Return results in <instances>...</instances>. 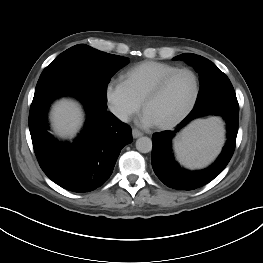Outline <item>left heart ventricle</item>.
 Wrapping results in <instances>:
<instances>
[{"instance_id": "left-heart-ventricle-1", "label": "left heart ventricle", "mask_w": 263, "mask_h": 263, "mask_svg": "<svg viewBox=\"0 0 263 263\" xmlns=\"http://www.w3.org/2000/svg\"><path fill=\"white\" fill-rule=\"evenodd\" d=\"M194 79L189 73L176 75L163 92L146 107L155 124L171 121L177 117L190 103L194 94Z\"/></svg>"}]
</instances>
